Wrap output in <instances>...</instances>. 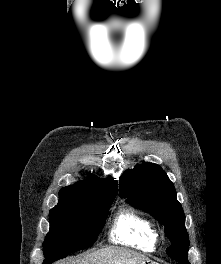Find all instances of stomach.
I'll list each match as a JSON object with an SVG mask.
<instances>
[{"label": "stomach", "instance_id": "stomach-1", "mask_svg": "<svg viewBox=\"0 0 221 264\" xmlns=\"http://www.w3.org/2000/svg\"><path fill=\"white\" fill-rule=\"evenodd\" d=\"M140 264H159V263H157V262H155L153 260L148 259V260L142 261Z\"/></svg>", "mask_w": 221, "mask_h": 264}]
</instances>
